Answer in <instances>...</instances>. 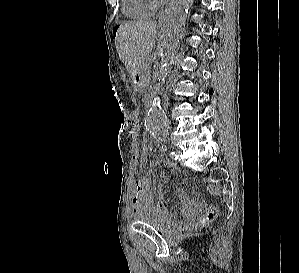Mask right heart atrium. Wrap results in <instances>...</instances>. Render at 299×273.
<instances>
[{"label":"right heart atrium","mask_w":299,"mask_h":273,"mask_svg":"<svg viewBox=\"0 0 299 273\" xmlns=\"http://www.w3.org/2000/svg\"><path fill=\"white\" fill-rule=\"evenodd\" d=\"M152 3L155 1V0H150Z\"/></svg>","instance_id":"d8ad5b80"}]
</instances>
